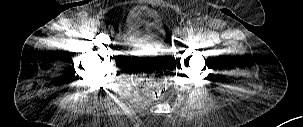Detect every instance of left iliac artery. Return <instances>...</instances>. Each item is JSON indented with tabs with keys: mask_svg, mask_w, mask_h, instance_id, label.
<instances>
[{
	"mask_svg": "<svg viewBox=\"0 0 303 127\" xmlns=\"http://www.w3.org/2000/svg\"><path fill=\"white\" fill-rule=\"evenodd\" d=\"M188 33L190 35H194L196 33V29L195 28H190L189 31H188Z\"/></svg>",
	"mask_w": 303,
	"mask_h": 127,
	"instance_id": "left-iliac-artery-1",
	"label": "left iliac artery"
}]
</instances>
